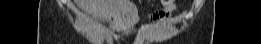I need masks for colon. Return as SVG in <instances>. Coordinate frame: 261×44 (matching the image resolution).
<instances>
[{
	"label": "colon",
	"mask_w": 261,
	"mask_h": 44,
	"mask_svg": "<svg viewBox=\"0 0 261 44\" xmlns=\"http://www.w3.org/2000/svg\"><path fill=\"white\" fill-rule=\"evenodd\" d=\"M170 2L172 1H161V6H170Z\"/></svg>",
	"instance_id": "5ec220e1"
}]
</instances>
